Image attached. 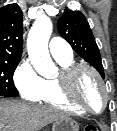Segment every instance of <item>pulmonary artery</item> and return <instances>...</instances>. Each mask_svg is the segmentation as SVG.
I'll list each match as a JSON object with an SVG mask.
<instances>
[{"instance_id": "pulmonary-artery-1", "label": "pulmonary artery", "mask_w": 117, "mask_h": 131, "mask_svg": "<svg viewBox=\"0 0 117 131\" xmlns=\"http://www.w3.org/2000/svg\"><path fill=\"white\" fill-rule=\"evenodd\" d=\"M49 51L55 60L71 59L73 57L70 45L60 37H54L49 43Z\"/></svg>"}]
</instances>
